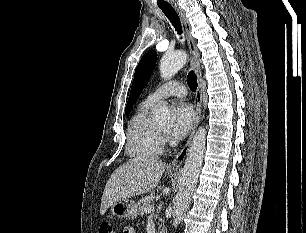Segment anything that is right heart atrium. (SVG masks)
Returning a JSON list of instances; mask_svg holds the SVG:
<instances>
[{
  "instance_id": "right-heart-atrium-1",
  "label": "right heart atrium",
  "mask_w": 306,
  "mask_h": 233,
  "mask_svg": "<svg viewBox=\"0 0 306 233\" xmlns=\"http://www.w3.org/2000/svg\"><path fill=\"white\" fill-rule=\"evenodd\" d=\"M162 142L163 145H165L166 143H168V138L166 136H162Z\"/></svg>"
}]
</instances>
